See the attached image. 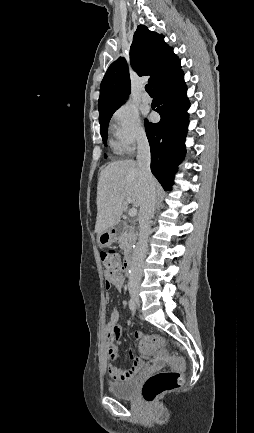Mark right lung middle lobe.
Returning <instances> with one entry per match:
<instances>
[{
	"label": "right lung middle lobe",
	"mask_w": 254,
	"mask_h": 433,
	"mask_svg": "<svg viewBox=\"0 0 254 433\" xmlns=\"http://www.w3.org/2000/svg\"><path fill=\"white\" fill-rule=\"evenodd\" d=\"M116 110L112 111L111 113L107 114V116L105 117V119L103 121L100 122L101 128H100V133L103 139L104 144L106 145V138H107V131H108V124H109V120L112 116V114L115 112Z\"/></svg>",
	"instance_id": "dd1d6c3e"
}]
</instances>
